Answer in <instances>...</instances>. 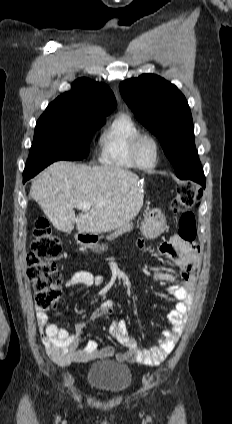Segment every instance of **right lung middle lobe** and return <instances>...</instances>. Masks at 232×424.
<instances>
[{
  "label": "right lung middle lobe",
  "mask_w": 232,
  "mask_h": 424,
  "mask_svg": "<svg viewBox=\"0 0 232 424\" xmlns=\"http://www.w3.org/2000/svg\"><path fill=\"white\" fill-rule=\"evenodd\" d=\"M105 122L103 118H92L75 112H44L36 123L24 173L33 172L57 160L85 158L89 153L92 133Z\"/></svg>",
  "instance_id": "1"
}]
</instances>
